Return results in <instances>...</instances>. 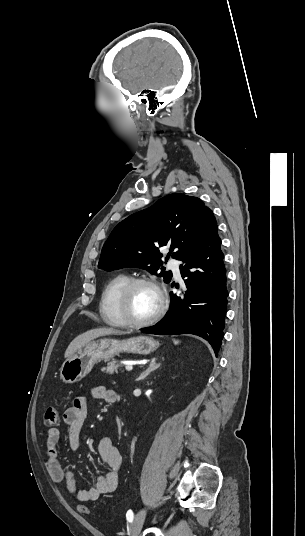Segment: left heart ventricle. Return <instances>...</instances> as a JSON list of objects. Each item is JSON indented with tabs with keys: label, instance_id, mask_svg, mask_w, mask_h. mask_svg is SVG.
Segmentation results:
<instances>
[{
	"label": "left heart ventricle",
	"instance_id": "left-heart-ventricle-1",
	"mask_svg": "<svg viewBox=\"0 0 305 536\" xmlns=\"http://www.w3.org/2000/svg\"><path fill=\"white\" fill-rule=\"evenodd\" d=\"M160 299L157 290L151 285L137 286L131 293L128 303L129 315L134 320L144 319L157 311Z\"/></svg>",
	"mask_w": 305,
	"mask_h": 536
}]
</instances>
